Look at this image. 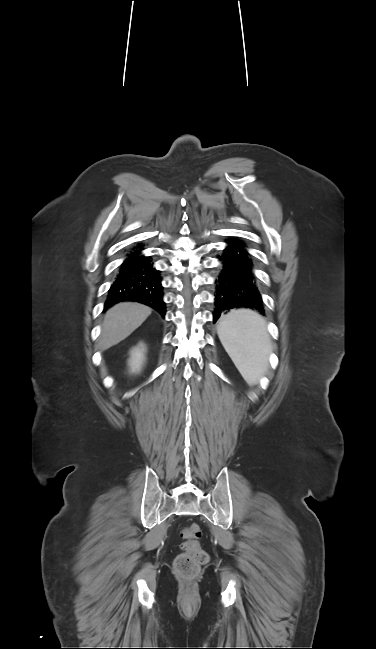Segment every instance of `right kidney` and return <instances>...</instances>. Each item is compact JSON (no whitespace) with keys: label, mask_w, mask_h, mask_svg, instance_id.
Returning a JSON list of instances; mask_svg holds the SVG:
<instances>
[{"label":"right kidney","mask_w":376,"mask_h":649,"mask_svg":"<svg viewBox=\"0 0 376 649\" xmlns=\"http://www.w3.org/2000/svg\"><path fill=\"white\" fill-rule=\"evenodd\" d=\"M144 352H145L144 344H140L139 346L131 350L130 359H129V366L131 368V372L136 373L141 370L143 366V362L145 360Z\"/></svg>","instance_id":"1"}]
</instances>
